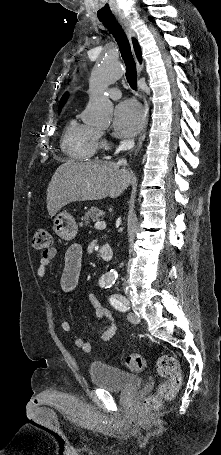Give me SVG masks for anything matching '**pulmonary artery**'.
I'll use <instances>...</instances> for the list:
<instances>
[{
	"instance_id": "obj_1",
	"label": "pulmonary artery",
	"mask_w": 221,
	"mask_h": 455,
	"mask_svg": "<svg viewBox=\"0 0 221 455\" xmlns=\"http://www.w3.org/2000/svg\"><path fill=\"white\" fill-rule=\"evenodd\" d=\"M108 95H109V97L111 99L117 100V99H119L121 97V92H120V90L118 88L114 87V88H110L108 90Z\"/></svg>"
}]
</instances>
